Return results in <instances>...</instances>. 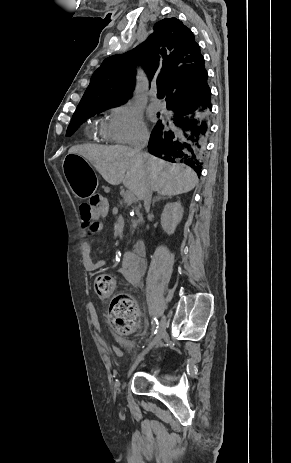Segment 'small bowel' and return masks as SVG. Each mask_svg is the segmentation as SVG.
I'll return each mask as SVG.
<instances>
[{
  "instance_id": "small-bowel-1",
  "label": "small bowel",
  "mask_w": 291,
  "mask_h": 463,
  "mask_svg": "<svg viewBox=\"0 0 291 463\" xmlns=\"http://www.w3.org/2000/svg\"><path fill=\"white\" fill-rule=\"evenodd\" d=\"M81 222L87 236H93L102 230V224L98 221L103 217H94L93 213L89 219L80 209ZM79 251L82 256V263L87 271H98L105 266L104 260H96L92 256V242L89 238L84 239L79 245ZM146 269L144 256L136 255L133 250L124 254L122 266L118 273L129 283L140 286L142 276Z\"/></svg>"
}]
</instances>
